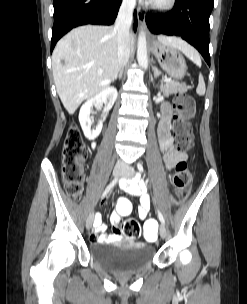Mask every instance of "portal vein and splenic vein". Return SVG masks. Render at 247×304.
Masks as SVG:
<instances>
[{
  "label": "portal vein and splenic vein",
  "instance_id": "obj_1",
  "mask_svg": "<svg viewBox=\"0 0 247 304\" xmlns=\"http://www.w3.org/2000/svg\"><path fill=\"white\" fill-rule=\"evenodd\" d=\"M170 80H171L170 78H167V77H166V78L164 79V82H168V81H170Z\"/></svg>",
  "mask_w": 247,
  "mask_h": 304
}]
</instances>
